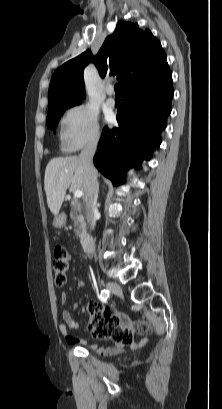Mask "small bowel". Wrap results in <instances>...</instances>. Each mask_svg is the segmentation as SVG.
<instances>
[{
	"label": "small bowel",
	"mask_w": 222,
	"mask_h": 409,
	"mask_svg": "<svg viewBox=\"0 0 222 409\" xmlns=\"http://www.w3.org/2000/svg\"><path fill=\"white\" fill-rule=\"evenodd\" d=\"M68 295L67 293L61 294V304L66 305L68 303ZM74 308H78V305L75 304ZM83 312V309L81 310ZM113 318L117 319L120 322V325L127 331L129 334H132V338L126 344H119L115 343L114 346H104V347H94L95 352L98 355H113L122 353L125 350L126 346L131 348H137L142 346L146 339H143L139 342H135L133 339V334L136 332L138 334H144L149 331V326L147 323L143 321H131L126 315L124 314H117L113 313ZM62 320L63 323L59 325V330L64 336L65 340L69 344H80L83 343L84 340L75 337L73 334L69 332V330H77L79 328V322L73 317L71 311L69 309H64L62 312Z\"/></svg>",
	"instance_id": "c3829d8e"
}]
</instances>
